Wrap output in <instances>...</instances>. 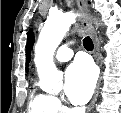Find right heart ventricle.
<instances>
[{
  "instance_id": "right-heart-ventricle-1",
  "label": "right heart ventricle",
  "mask_w": 121,
  "mask_h": 113,
  "mask_svg": "<svg viewBox=\"0 0 121 113\" xmlns=\"http://www.w3.org/2000/svg\"><path fill=\"white\" fill-rule=\"evenodd\" d=\"M55 101L52 96L44 90L35 89L28 103V113H54Z\"/></svg>"
}]
</instances>
